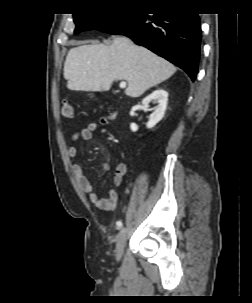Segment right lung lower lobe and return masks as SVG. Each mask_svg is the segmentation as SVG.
I'll return each instance as SVG.
<instances>
[{"label":"right lung lower lobe","instance_id":"obj_1","mask_svg":"<svg viewBox=\"0 0 252 303\" xmlns=\"http://www.w3.org/2000/svg\"><path fill=\"white\" fill-rule=\"evenodd\" d=\"M125 35L183 69L195 80L201 46V24L198 14L164 9L153 15L135 11L99 29Z\"/></svg>","mask_w":252,"mask_h":303}]
</instances>
